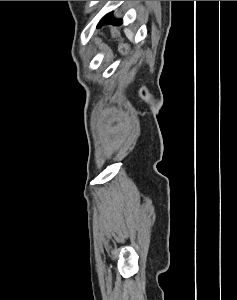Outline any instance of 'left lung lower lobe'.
Listing matches in <instances>:
<instances>
[{
	"label": "left lung lower lobe",
	"mask_w": 237,
	"mask_h": 300,
	"mask_svg": "<svg viewBox=\"0 0 237 300\" xmlns=\"http://www.w3.org/2000/svg\"><path fill=\"white\" fill-rule=\"evenodd\" d=\"M115 18L112 16V13H109L107 15H105L101 21L98 23L97 27H100L103 24H114V25H119L121 23V20H116L113 21Z\"/></svg>",
	"instance_id": "obj_1"
}]
</instances>
